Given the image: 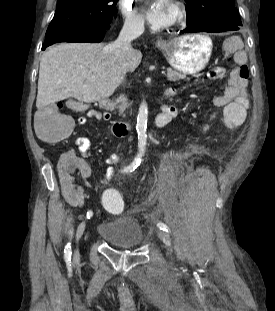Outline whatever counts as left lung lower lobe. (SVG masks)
<instances>
[{"mask_svg":"<svg viewBox=\"0 0 275 311\" xmlns=\"http://www.w3.org/2000/svg\"><path fill=\"white\" fill-rule=\"evenodd\" d=\"M240 27L232 26L226 24L223 20L219 19H212V20H205L203 22L194 23L187 25V28L181 32L189 33V32H225V31H235L239 30Z\"/></svg>","mask_w":275,"mask_h":311,"instance_id":"left-lung-lower-lobe-1","label":"left lung lower lobe"}]
</instances>
